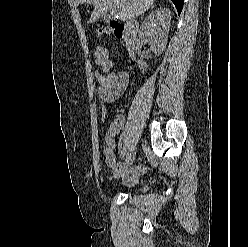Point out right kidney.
Returning a JSON list of instances; mask_svg holds the SVG:
<instances>
[{
    "mask_svg": "<svg viewBox=\"0 0 248 247\" xmlns=\"http://www.w3.org/2000/svg\"><path fill=\"white\" fill-rule=\"evenodd\" d=\"M171 22V11L167 8H158L152 11L142 22L139 38L149 43L154 53L159 56L164 51ZM138 66L143 69L144 63L138 61Z\"/></svg>",
    "mask_w": 248,
    "mask_h": 247,
    "instance_id": "obj_1",
    "label": "right kidney"
}]
</instances>
